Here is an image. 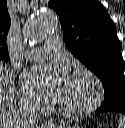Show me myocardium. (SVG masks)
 Returning a JSON list of instances; mask_svg holds the SVG:
<instances>
[{
  "label": "myocardium",
  "instance_id": "1",
  "mask_svg": "<svg viewBox=\"0 0 125 128\" xmlns=\"http://www.w3.org/2000/svg\"><path fill=\"white\" fill-rule=\"evenodd\" d=\"M71 76L81 77L88 80L93 86V96L91 97L89 102L83 106L74 109H68L59 105L58 110L65 117H69V118L81 117L91 113L101 105L104 96V88L101 80L94 73H92L87 69H82V68L76 69L72 72Z\"/></svg>",
  "mask_w": 125,
  "mask_h": 128
}]
</instances>
